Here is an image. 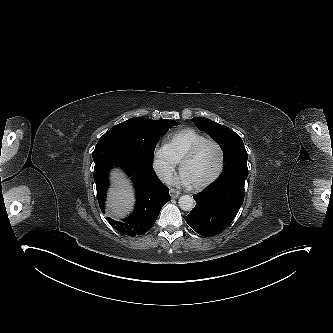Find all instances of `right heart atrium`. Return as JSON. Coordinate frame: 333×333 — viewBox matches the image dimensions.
I'll use <instances>...</instances> for the list:
<instances>
[{
  "label": "right heart atrium",
  "mask_w": 333,
  "mask_h": 333,
  "mask_svg": "<svg viewBox=\"0 0 333 333\" xmlns=\"http://www.w3.org/2000/svg\"><path fill=\"white\" fill-rule=\"evenodd\" d=\"M177 164L178 161L166 146L156 147L153 152L152 166L163 180H168L172 176Z\"/></svg>",
  "instance_id": "1"
}]
</instances>
